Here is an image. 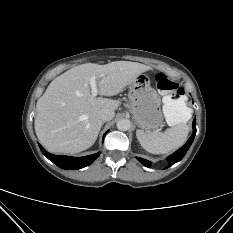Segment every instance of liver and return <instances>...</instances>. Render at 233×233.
Instances as JSON below:
<instances>
[{"mask_svg":"<svg viewBox=\"0 0 233 233\" xmlns=\"http://www.w3.org/2000/svg\"><path fill=\"white\" fill-rule=\"evenodd\" d=\"M149 66L130 61L105 65L86 63L56 77L36 104L35 132L53 153H79L91 147L100 132L101 109L116 110L117 100L93 97L90 78L98 79L99 94L114 96Z\"/></svg>","mask_w":233,"mask_h":233,"instance_id":"6515ba94","label":"liver"}]
</instances>
